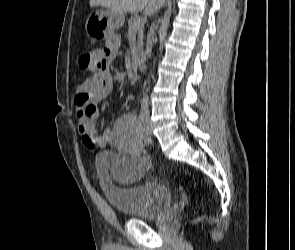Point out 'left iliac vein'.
Returning a JSON list of instances; mask_svg holds the SVG:
<instances>
[{"mask_svg":"<svg viewBox=\"0 0 295 250\" xmlns=\"http://www.w3.org/2000/svg\"><path fill=\"white\" fill-rule=\"evenodd\" d=\"M147 131H148V132L151 131V124H150V123H148V125H147Z\"/></svg>","mask_w":295,"mask_h":250,"instance_id":"obj_1","label":"left iliac vein"}]
</instances>
